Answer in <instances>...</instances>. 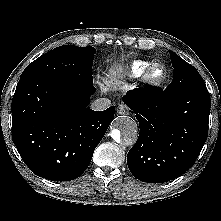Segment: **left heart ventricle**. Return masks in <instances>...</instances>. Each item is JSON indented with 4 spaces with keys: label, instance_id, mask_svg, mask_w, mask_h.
<instances>
[{
    "label": "left heart ventricle",
    "instance_id": "obj_1",
    "mask_svg": "<svg viewBox=\"0 0 221 221\" xmlns=\"http://www.w3.org/2000/svg\"><path fill=\"white\" fill-rule=\"evenodd\" d=\"M162 74H163V71H162L161 68H156V69L153 71V76H154L155 78L161 77Z\"/></svg>",
    "mask_w": 221,
    "mask_h": 221
}]
</instances>
